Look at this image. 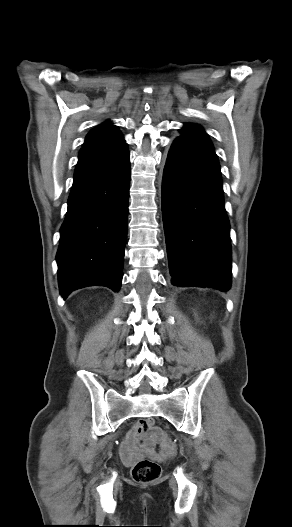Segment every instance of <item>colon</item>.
I'll list each match as a JSON object with an SVG mask.
<instances>
[{
	"label": "colon",
	"mask_w": 292,
	"mask_h": 527,
	"mask_svg": "<svg viewBox=\"0 0 292 527\" xmlns=\"http://www.w3.org/2000/svg\"><path fill=\"white\" fill-rule=\"evenodd\" d=\"M145 433H148L151 438L157 436L155 434V426L153 421L147 420L140 423ZM132 478L139 483H151L158 480L161 476L160 465L152 463L149 459H141L137 461L131 470Z\"/></svg>",
	"instance_id": "5ec220e1"
}]
</instances>
